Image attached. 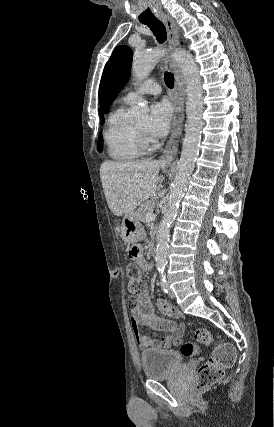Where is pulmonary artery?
Wrapping results in <instances>:
<instances>
[{"label": "pulmonary artery", "instance_id": "pulmonary-artery-1", "mask_svg": "<svg viewBox=\"0 0 274 427\" xmlns=\"http://www.w3.org/2000/svg\"><path fill=\"white\" fill-rule=\"evenodd\" d=\"M162 91L160 84L153 78L147 79L139 87L124 97L125 104H132L144 95H158Z\"/></svg>", "mask_w": 274, "mask_h": 427}]
</instances>
